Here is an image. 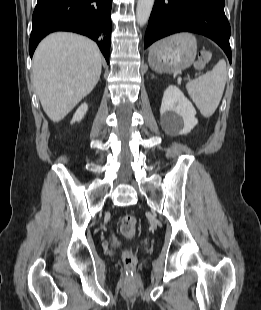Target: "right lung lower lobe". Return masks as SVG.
Segmentation results:
<instances>
[{
    "instance_id": "1",
    "label": "right lung lower lobe",
    "mask_w": 261,
    "mask_h": 310,
    "mask_svg": "<svg viewBox=\"0 0 261 310\" xmlns=\"http://www.w3.org/2000/svg\"><path fill=\"white\" fill-rule=\"evenodd\" d=\"M112 0H37L29 41L32 57L40 40L53 31H72L96 41L107 62Z\"/></svg>"
}]
</instances>
